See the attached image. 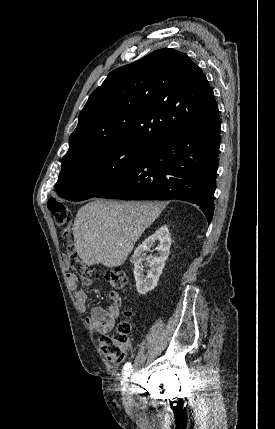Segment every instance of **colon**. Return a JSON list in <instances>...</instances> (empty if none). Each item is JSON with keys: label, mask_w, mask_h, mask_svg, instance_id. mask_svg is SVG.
<instances>
[{"label": "colon", "mask_w": 275, "mask_h": 429, "mask_svg": "<svg viewBox=\"0 0 275 429\" xmlns=\"http://www.w3.org/2000/svg\"><path fill=\"white\" fill-rule=\"evenodd\" d=\"M48 208L56 225L67 235L72 226V214L69 208L57 200L49 201ZM65 260L72 269L83 277H89L93 273L92 267L87 266L81 260L72 245L68 246ZM102 275L114 291H123L128 284L127 274L121 268L105 269L102 271ZM130 333L131 324L128 320H124L119 323L117 330L112 335L100 338L101 352L109 362L120 364L124 361L126 352L130 348Z\"/></svg>", "instance_id": "colon-1"}]
</instances>
